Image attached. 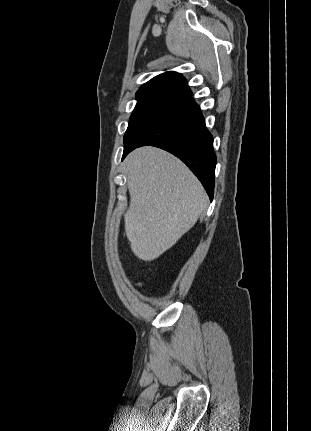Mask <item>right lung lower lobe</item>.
Here are the masks:
<instances>
[{
  "mask_svg": "<svg viewBox=\"0 0 311 431\" xmlns=\"http://www.w3.org/2000/svg\"><path fill=\"white\" fill-rule=\"evenodd\" d=\"M146 145L180 158L201 181L212 201L216 166L213 138L192 95L181 98L145 124L124 147L122 159Z\"/></svg>",
  "mask_w": 311,
  "mask_h": 431,
  "instance_id": "98d812e1",
  "label": "right lung lower lobe"
}]
</instances>
